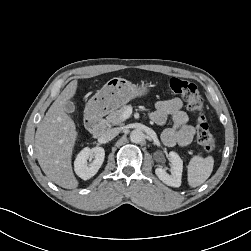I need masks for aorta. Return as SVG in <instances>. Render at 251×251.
I'll list each match as a JSON object with an SVG mask.
<instances>
[{
  "mask_svg": "<svg viewBox=\"0 0 251 251\" xmlns=\"http://www.w3.org/2000/svg\"><path fill=\"white\" fill-rule=\"evenodd\" d=\"M144 139V133L141 130H133L130 133V140L133 143H140Z\"/></svg>",
  "mask_w": 251,
  "mask_h": 251,
  "instance_id": "aorta-1",
  "label": "aorta"
}]
</instances>
